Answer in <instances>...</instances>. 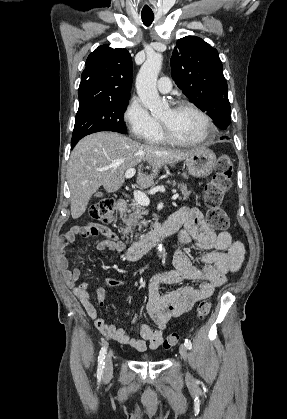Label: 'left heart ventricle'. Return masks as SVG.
<instances>
[{
    "label": "left heart ventricle",
    "mask_w": 287,
    "mask_h": 419,
    "mask_svg": "<svg viewBox=\"0 0 287 419\" xmlns=\"http://www.w3.org/2000/svg\"><path fill=\"white\" fill-rule=\"evenodd\" d=\"M159 120L169 132L183 140H197L206 133V127L198 114L185 108H168Z\"/></svg>",
    "instance_id": "1"
}]
</instances>
